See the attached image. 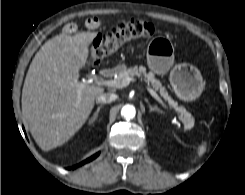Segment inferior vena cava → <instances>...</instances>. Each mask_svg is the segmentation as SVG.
<instances>
[{
	"label": "inferior vena cava",
	"mask_w": 245,
	"mask_h": 195,
	"mask_svg": "<svg viewBox=\"0 0 245 195\" xmlns=\"http://www.w3.org/2000/svg\"><path fill=\"white\" fill-rule=\"evenodd\" d=\"M117 99V95L112 93H101L96 97L97 103H111Z\"/></svg>",
	"instance_id": "602c4592"
}]
</instances>
